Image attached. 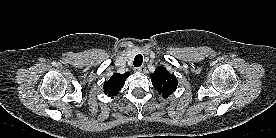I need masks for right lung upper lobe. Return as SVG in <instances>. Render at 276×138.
<instances>
[{
	"label": "right lung upper lobe",
	"mask_w": 276,
	"mask_h": 138,
	"mask_svg": "<svg viewBox=\"0 0 276 138\" xmlns=\"http://www.w3.org/2000/svg\"><path fill=\"white\" fill-rule=\"evenodd\" d=\"M130 73L126 72L124 74L114 73L111 78L104 83V92L108 96H116L121 88L124 86V83Z\"/></svg>",
	"instance_id": "right-lung-upper-lobe-1"
}]
</instances>
